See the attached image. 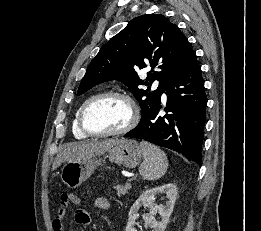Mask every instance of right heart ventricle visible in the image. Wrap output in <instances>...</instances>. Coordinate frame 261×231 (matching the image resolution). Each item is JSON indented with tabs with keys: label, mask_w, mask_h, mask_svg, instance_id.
<instances>
[{
	"label": "right heart ventricle",
	"mask_w": 261,
	"mask_h": 231,
	"mask_svg": "<svg viewBox=\"0 0 261 231\" xmlns=\"http://www.w3.org/2000/svg\"><path fill=\"white\" fill-rule=\"evenodd\" d=\"M95 95H91V96H89V97H87L86 99H84L83 101H82V103L79 105V107L77 108V110H76V112H75V114H74V116H73V119H72V133H73V135H74V137L75 138H77V139H86V138H88L89 136L88 135H86V134H84L82 131H81V129H80V127H79V122H78V118H79V113H80V110H81V108L84 106V104L88 101V100H90L92 97H94Z\"/></svg>",
	"instance_id": "e07e8e85"
}]
</instances>
